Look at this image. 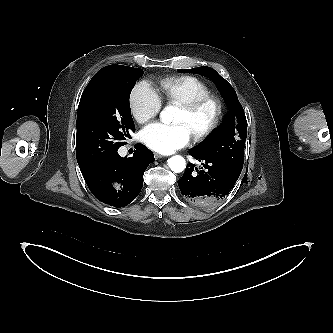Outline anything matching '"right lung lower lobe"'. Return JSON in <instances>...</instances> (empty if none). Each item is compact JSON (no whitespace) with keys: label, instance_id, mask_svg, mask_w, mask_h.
Returning <instances> with one entry per match:
<instances>
[{"label":"right lung lower lobe","instance_id":"1","mask_svg":"<svg viewBox=\"0 0 333 333\" xmlns=\"http://www.w3.org/2000/svg\"><path fill=\"white\" fill-rule=\"evenodd\" d=\"M135 148L133 157L122 158L115 152L81 170L98 200L110 206L124 207L138 196L144 171L154 161V155L142 144H136Z\"/></svg>","mask_w":333,"mask_h":333}]
</instances>
